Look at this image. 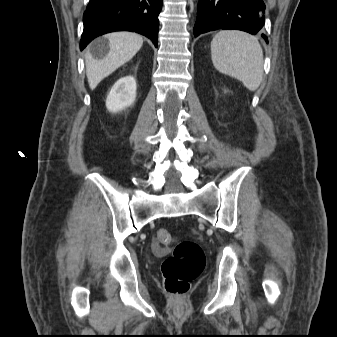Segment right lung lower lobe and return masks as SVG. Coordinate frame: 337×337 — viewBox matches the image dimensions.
<instances>
[{
    "instance_id": "right-lung-lower-lobe-1",
    "label": "right lung lower lobe",
    "mask_w": 337,
    "mask_h": 337,
    "mask_svg": "<svg viewBox=\"0 0 337 337\" xmlns=\"http://www.w3.org/2000/svg\"><path fill=\"white\" fill-rule=\"evenodd\" d=\"M163 0H90L83 16L80 41L83 50L97 36L114 31H133L147 36L157 47L158 15Z\"/></svg>"
}]
</instances>
